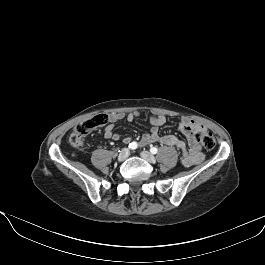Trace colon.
Instances as JSON below:
<instances>
[{"instance_id": "obj_1", "label": "colon", "mask_w": 265, "mask_h": 265, "mask_svg": "<svg viewBox=\"0 0 265 265\" xmlns=\"http://www.w3.org/2000/svg\"><path fill=\"white\" fill-rule=\"evenodd\" d=\"M109 121L106 114H97L76 126L69 141L73 146H81L83 139L97 128L105 125ZM197 142L205 149L210 150L215 147V137L207 130L198 131L195 135Z\"/></svg>"}]
</instances>
